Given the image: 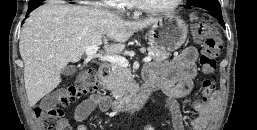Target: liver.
<instances>
[{
  "mask_svg": "<svg viewBox=\"0 0 257 130\" xmlns=\"http://www.w3.org/2000/svg\"><path fill=\"white\" fill-rule=\"evenodd\" d=\"M158 18L126 21L104 10L65 5L51 0L26 20L19 42L24 61V82L31 107L61 83V71L69 62H78L86 50L105 45L107 55L122 52L125 42Z\"/></svg>",
  "mask_w": 257,
  "mask_h": 130,
  "instance_id": "liver-1",
  "label": "liver"
}]
</instances>
